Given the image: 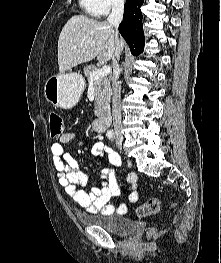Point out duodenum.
Listing matches in <instances>:
<instances>
[{
	"mask_svg": "<svg viewBox=\"0 0 221 263\" xmlns=\"http://www.w3.org/2000/svg\"><path fill=\"white\" fill-rule=\"evenodd\" d=\"M111 121V115L109 113H105L93 122V128L96 132L102 133L104 132Z\"/></svg>",
	"mask_w": 221,
	"mask_h": 263,
	"instance_id": "1",
	"label": "duodenum"
}]
</instances>
